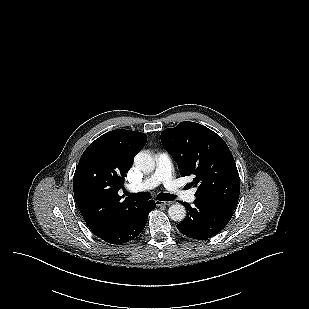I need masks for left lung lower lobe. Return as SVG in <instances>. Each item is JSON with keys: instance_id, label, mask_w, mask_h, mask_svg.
I'll return each instance as SVG.
<instances>
[{"instance_id": "obj_1", "label": "left lung lower lobe", "mask_w": 309, "mask_h": 309, "mask_svg": "<svg viewBox=\"0 0 309 309\" xmlns=\"http://www.w3.org/2000/svg\"><path fill=\"white\" fill-rule=\"evenodd\" d=\"M187 208L186 218L177 225L185 236L205 240L219 233L229 222L234 210L205 200L195 199L194 205L182 202Z\"/></svg>"}]
</instances>
